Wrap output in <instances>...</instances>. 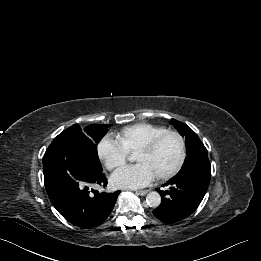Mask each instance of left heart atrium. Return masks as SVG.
Instances as JSON below:
<instances>
[{"label": "left heart atrium", "mask_w": 261, "mask_h": 261, "mask_svg": "<svg viewBox=\"0 0 261 261\" xmlns=\"http://www.w3.org/2000/svg\"><path fill=\"white\" fill-rule=\"evenodd\" d=\"M155 173L145 164L136 163L116 171L110 178L115 188H142L156 179Z\"/></svg>", "instance_id": "39dd6f15"}]
</instances>
